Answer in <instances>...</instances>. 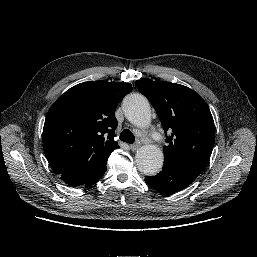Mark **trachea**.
<instances>
[{
    "label": "trachea",
    "mask_w": 257,
    "mask_h": 257,
    "mask_svg": "<svg viewBox=\"0 0 257 257\" xmlns=\"http://www.w3.org/2000/svg\"><path fill=\"white\" fill-rule=\"evenodd\" d=\"M119 138L121 141L129 143V144H133L135 141V137H134L133 133L128 129L123 130L121 132Z\"/></svg>",
    "instance_id": "trachea-1"
}]
</instances>
